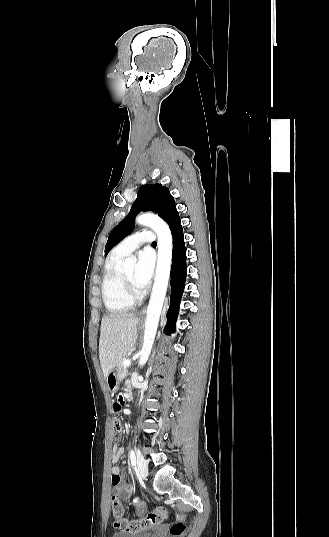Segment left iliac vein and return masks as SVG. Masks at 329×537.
<instances>
[{"mask_svg":"<svg viewBox=\"0 0 329 537\" xmlns=\"http://www.w3.org/2000/svg\"><path fill=\"white\" fill-rule=\"evenodd\" d=\"M137 469L140 476L145 479L148 474V465L146 460L142 456L137 457Z\"/></svg>","mask_w":329,"mask_h":537,"instance_id":"left-iliac-vein-1","label":"left iliac vein"}]
</instances>
